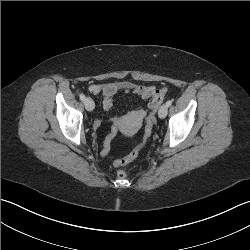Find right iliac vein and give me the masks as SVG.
I'll list each match as a JSON object with an SVG mask.
<instances>
[{"instance_id": "obj_1", "label": "right iliac vein", "mask_w": 250, "mask_h": 250, "mask_svg": "<svg viewBox=\"0 0 250 250\" xmlns=\"http://www.w3.org/2000/svg\"><path fill=\"white\" fill-rule=\"evenodd\" d=\"M84 105L88 111H92L95 107L94 101L89 97L84 100Z\"/></svg>"}]
</instances>
